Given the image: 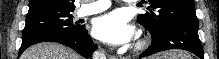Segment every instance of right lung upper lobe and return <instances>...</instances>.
Instances as JSON below:
<instances>
[{
	"instance_id": "right-lung-upper-lobe-1",
	"label": "right lung upper lobe",
	"mask_w": 219,
	"mask_h": 59,
	"mask_svg": "<svg viewBox=\"0 0 219 59\" xmlns=\"http://www.w3.org/2000/svg\"><path fill=\"white\" fill-rule=\"evenodd\" d=\"M75 9L73 0H30L29 11L36 10H61L66 12H72Z\"/></svg>"
}]
</instances>
